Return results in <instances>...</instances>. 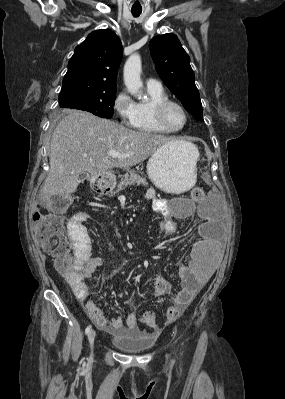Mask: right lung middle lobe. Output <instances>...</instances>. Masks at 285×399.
Segmentation results:
<instances>
[{
	"instance_id": "right-lung-middle-lobe-1",
	"label": "right lung middle lobe",
	"mask_w": 285,
	"mask_h": 399,
	"mask_svg": "<svg viewBox=\"0 0 285 399\" xmlns=\"http://www.w3.org/2000/svg\"><path fill=\"white\" fill-rule=\"evenodd\" d=\"M116 91H75L59 94L62 108L79 109L93 113L101 118L111 119Z\"/></svg>"
}]
</instances>
